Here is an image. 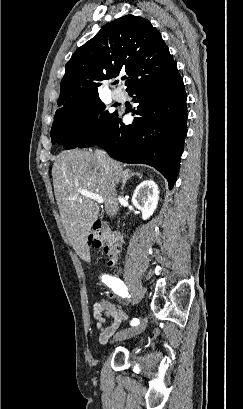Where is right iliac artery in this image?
Listing matches in <instances>:
<instances>
[{"label": "right iliac artery", "instance_id": "right-iliac-artery-1", "mask_svg": "<svg viewBox=\"0 0 243 409\" xmlns=\"http://www.w3.org/2000/svg\"><path fill=\"white\" fill-rule=\"evenodd\" d=\"M102 281L109 286L116 294L122 297L128 296L127 288L125 284L118 278L109 276V275H103L102 276ZM130 297V296H128ZM140 323L139 319L134 318L131 321V326H136Z\"/></svg>", "mask_w": 243, "mask_h": 409}]
</instances>
